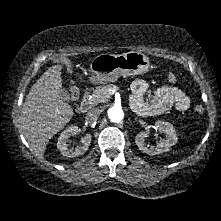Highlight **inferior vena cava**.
I'll return each mask as SVG.
<instances>
[{
  "instance_id": "1",
  "label": "inferior vena cava",
  "mask_w": 221,
  "mask_h": 221,
  "mask_svg": "<svg viewBox=\"0 0 221 221\" xmlns=\"http://www.w3.org/2000/svg\"><path fill=\"white\" fill-rule=\"evenodd\" d=\"M100 113H101V110L99 108L91 109L85 116L86 122L88 123L95 122L98 119Z\"/></svg>"
}]
</instances>
